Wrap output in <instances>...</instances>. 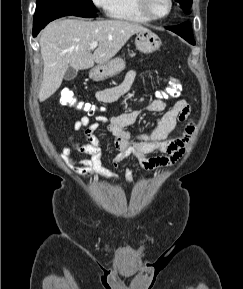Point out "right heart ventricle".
Returning a JSON list of instances; mask_svg holds the SVG:
<instances>
[{"label":"right heart ventricle","mask_w":243,"mask_h":289,"mask_svg":"<svg viewBox=\"0 0 243 289\" xmlns=\"http://www.w3.org/2000/svg\"><path fill=\"white\" fill-rule=\"evenodd\" d=\"M109 15L118 20L146 23L151 21L139 10L137 0H112Z\"/></svg>","instance_id":"1"}]
</instances>
